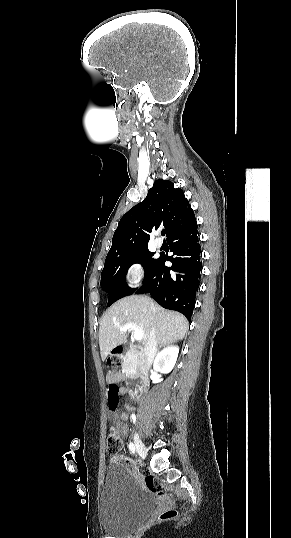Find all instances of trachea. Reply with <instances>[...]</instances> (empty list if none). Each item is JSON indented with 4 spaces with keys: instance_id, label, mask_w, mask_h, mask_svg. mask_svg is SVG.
Returning a JSON list of instances; mask_svg holds the SVG:
<instances>
[{
    "instance_id": "obj_1",
    "label": "trachea",
    "mask_w": 291,
    "mask_h": 538,
    "mask_svg": "<svg viewBox=\"0 0 291 538\" xmlns=\"http://www.w3.org/2000/svg\"><path fill=\"white\" fill-rule=\"evenodd\" d=\"M161 235H162V236L165 235V230H162Z\"/></svg>"
}]
</instances>
